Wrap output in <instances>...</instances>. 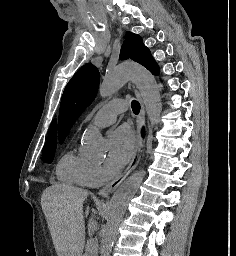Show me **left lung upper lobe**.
Masks as SVG:
<instances>
[{
    "instance_id": "obj_1",
    "label": "left lung upper lobe",
    "mask_w": 236,
    "mask_h": 256,
    "mask_svg": "<svg viewBox=\"0 0 236 256\" xmlns=\"http://www.w3.org/2000/svg\"><path fill=\"white\" fill-rule=\"evenodd\" d=\"M121 59L130 58L146 67L152 74L158 75L159 68L151 56L149 49L142 43L140 36L127 32L120 53ZM100 75L98 69L88 63L82 66L69 81L62 95L59 119L58 137L62 144L71 127L94 100Z\"/></svg>"
}]
</instances>
